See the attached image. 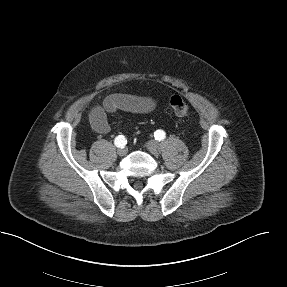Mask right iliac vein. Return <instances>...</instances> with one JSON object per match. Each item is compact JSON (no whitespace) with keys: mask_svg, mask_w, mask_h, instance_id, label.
Masks as SVG:
<instances>
[{"mask_svg":"<svg viewBox=\"0 0 287 287\" xmlns=\"http://www.w3.org/2000/svg\"><path fill=\"white\" fill-rule=\"evenodd\" d=\"M127 152H128L127 148H119V149L117 150V154H118L119 156H125V155L127 154Z\"/></svg>","mask_w":287,"mask_h":287,"instance_id":"63e3f726","label":"right iliac vein"}]
</instances>
